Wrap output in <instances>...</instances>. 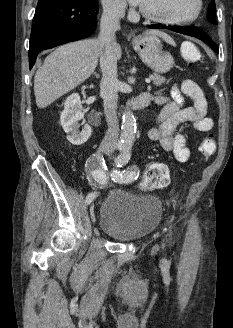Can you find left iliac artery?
<instances>
[{
	"label": "left iliac artery",
	"instance_id": "44dca946",
	"mask_svg": "<svg viewBox=\"0 0 233 328\" xmlns=\"http://www.w3.org/2000/svg\"><path fill=\"white\" fill-rule=\"evenodd\" d=\"M130 159V147H124L121 149V153L115 160V164L117 168H121L126 163H128ZM111 178L114 182L118 183H130L137 179L138 175L135 171H120L117 169L112 170Z\"/></svg>",
	"mask_w": 233,
	"mask_h": 328
}]
</instances>
